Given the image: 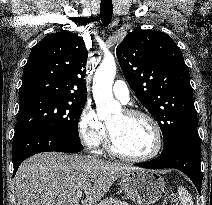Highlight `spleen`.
I'll return each mask as SVG.
<instances>
[{"mask_svg": "<svg viewBox=\"0 0 212 205\" xmlns=\"http://www.w3.org/2000/svg\"><path fill=\"white\" fill-rule=\"evenodd\" d=\"M178 196L181 205H193L192 197L183 186L178 188Z\"/></svg>", "mask_w": 212, "mask_h": 205, "instance_id": "spleen-1", "label": "spleen"}]
</instances>
